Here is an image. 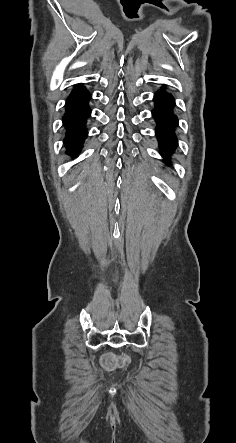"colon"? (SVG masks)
I'll return each instance as SVG.
<instances>
[{
  "instance_id": "obj_1",
  "label": "colon",
  "mask_w": 236,
  "mask_h": 443,
  "mask_svg": "<svg viewBox=\"0 0 236 443\" xmlns=\"http://www.w3.org/2000/svg\"><path fill=\"white\" fill-rule=\"evenodd\" d=\"M103 365L108 368H114L116 366H123L129 363V358L127 356H123L121 358H116L113 355H106L102 359Z\"/></svg>"
}]
</instances>
